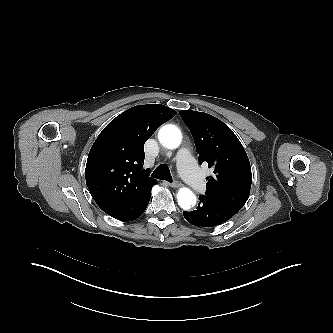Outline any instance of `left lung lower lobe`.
I'll return each instance as SVG.
<instances>
[{"label": "left lung lower lobe", "mask_w": 333, "mask_h": 333, "mask_svg": "<svg viewBox=\"0 0 333 333\" xmlns=\"http://www.w3.org/2000/svg\"><path fill=\"white\" fill-rule=\"evenodd\" d=\"M196 210L183 212L185 219L198 227H213L222 224L235 215L232 211L217 202L201 195Z\"/></svg>", "instance_id": "left-lung-lower-lobe-1"}]
</instances>
